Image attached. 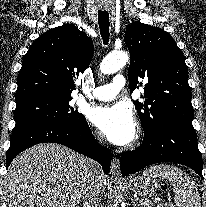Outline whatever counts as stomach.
Returning a JSON list of instances; mask_svg holds the SVG:
<instances>
[{"label": "stomach", "instance_id": "obj_1", "mask_svg": "<svg viewBox=\"0 0 206 207\" xmlns=\"http://www.w3.org/2000/svg\"><path fill=\"white\" fill-rule=\"evenodd\" d=\"M126 186L134 193L142 197H151L156 195L158 183L152 176H135L125 182Z\"/></svg>", "mask_w": 206, "mask_h": 207}]
</instances>
